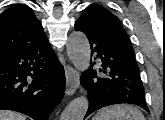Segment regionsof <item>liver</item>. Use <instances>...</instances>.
Listing matches in <instances>:
<instances>
[{
	"label": "liver",
	"instance_id": "1",
	"mask_svg": "<svg viewBox=\"0 0 165 120\" xmlns=\"http://www.w3.org/2000/svg\"><path fill=\"white\" fill-rule=\"evenodd\" d=\"M0 120H26V117L13 111H0Z\"/></svg>",
	"mask_w": 165,
	"mask_h": 120
}]
</instances>
